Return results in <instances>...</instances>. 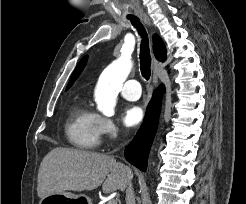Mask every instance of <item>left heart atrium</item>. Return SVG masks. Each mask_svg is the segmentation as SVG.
Listing matches in <instances>:
<instances>
[{
	"mask_svg": "<svg viewBox=\"0 0 246 204\" xmlns=\"http://www.w3.org/2000/svg\"><path fill=\"white\" fill-rule=\"evenodd\" d=\"M143 117L144 112L141 107L130 105L125 108L122 120L127 127H135L142 121Z\"/></svg>",
	"mask_w": 246,
	"mask_h": 204,
	"instance_id": "1",
	"label": "left heart atrium"
}]
</instances>
